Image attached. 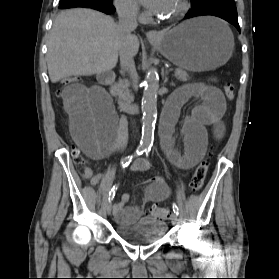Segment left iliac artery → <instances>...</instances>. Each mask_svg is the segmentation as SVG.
Instances as JSON below:
<instances>
[{
	"instance_id": "44dca946",
	"label": "left iliac artery",
	"mask_w": 279,
	"mask_h": 279,
	"mask_svg": "<svg viewBox=\"0 0 279 279\" xmlns=\"http://www.w3.org/2000/svg\"><path fill=\"white\" fill-rule=\"evenodd\" d=\"M150 150H151V147H149V148H147L146 149V155H148V153L150 152ZM173 211H174V213L178 216L179 215V208H178V206L174 203L173 204Z\"/></svg>"
}]
</instances>
